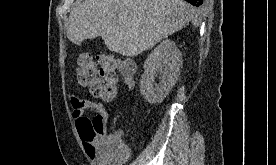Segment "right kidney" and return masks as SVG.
<instances>
[{
    "instance_id": "ca27d5eb",
    "label": "right kidney",
    "mask_w": 276,
    "mask_h": 165,
    "mask_svg": "<svg viewBox=\"0 0 276 165\" xmlns=\"http://www.w3.org/2000/svg\"><path fill=\"white\" fill-rule=\"evenodd\" d=\"M182 54L174 41H162L144 62L140 91L150 104L160 103L175 85L182 67ZM155 77L160 82L155 83Z\"/></svg>"
}]
</instances>
